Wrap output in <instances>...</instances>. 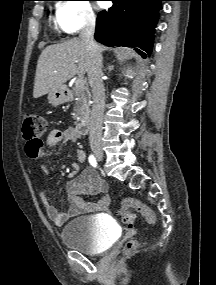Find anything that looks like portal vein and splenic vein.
Here are the masks:
<instances>
[{"label": "portal vein and splenic vein", "mask_w": 216, "mask_h": 285, "mask_svg": "<svg viewBox=\"0 0 216 285\" xmlns=\"http://www.w3.org/2000/svg\"><path fill=\"white\" fill-rule=\"evenodd\" d=\"M77 62V61H76ZM85 81L83 79V77H79L76 81H75V86L77 87H82L84 86Z\"/></svg>", "instance_id": "portal-vein-and-splenic-vein-1"}]
</instances>
